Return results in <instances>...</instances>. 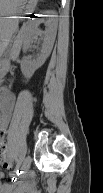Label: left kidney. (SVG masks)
Here are the masks:
<instances>
[{
	"instance_id": "obj_1",
	"label": "left kidney",
	"mask_w": 103,
	"mask_h": 193,
	"mask_svg": "<svg viewBox=\"0 0 103 193\" xmlns=\"http://www.w3.org/2000/svg\"><path fill=\"white\" fill-rule=\"evenodd\" d=\"M46 13L50 14L51 12L47 11ZM41 22H43V20L41 19H37L33 22L32 34H35L38 31L37 27ZM48 24L49 27L44 32V40L38 57L33 61L23 60L21 62V71L26 78L32 77L34 72L45 63L46 59L49 57L52 51L54 40L56 37L57 21L51 18L48 20ZM29 42V40H26L24 42V51L28 48Z\"/></svg>"
}]
</instances>
